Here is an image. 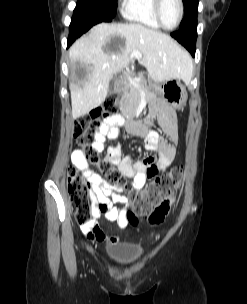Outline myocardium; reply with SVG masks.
<instances>
[{
    "mask_svg": "<svg viewBox=\"0 0 247 304\" xmlns=\"http://www.w3.org/2000/svg\"><path fill=\"white\" fill-rule=\"evenodd\" d=\"M153 1H154V15H155V18H156L157 22L159 23V25L163 29L168 30V31H172V30H175L176 28H178L179 25L182 22L183 14H184V4H183V1L182 0H177V3L179 5V17H178V21H177L176 25L173 26L172 28L166 27L163 24V21H162V18H161V7H162L163 0H153Z\"/></svg>",
    "mask_w": 247,
    "mask_h": 304,
    "instance_id": "obj_1",
    "label": "myocardium"
}]
</instances>
